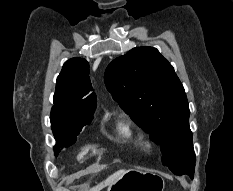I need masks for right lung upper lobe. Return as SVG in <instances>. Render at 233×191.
I'll use <instances>...</instances> for the list:
<instances>
[{"mask_svg": "<svg viewBox=\"0 0 233 191\" xmlns=\"http://www.w3.org/2000/svg\"><path fill=\"white\" fill-rule=\"evenodd\" d=\"M54 109L69 113H94L96 94L92 92L89 64L83 58H72L62 68L56 81Z\"/></svg>", "mask_w": 233, "mask_h": 191, "instance_id": "right-lung-upper-lobe-1", "label": "right lung upper lobe"}]
</instances>
